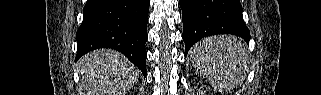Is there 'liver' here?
<instances>
[{
	"mask_svg": "<svg viewBox=\"0 0 321 95\" xmlns=\"http://www.w3.org/2000/svg\"><path fill=\"white\" fill-rule=\"evenodd\" d=\"M79 63L89 95H124L139 78V70L114 50L93 51L83 56Z\"/></svg>",
	"mask_w": 321,
	"mask_h": 95,
	"instance_id": "liver-1",
	"label": "liver"
}]
</instances>
